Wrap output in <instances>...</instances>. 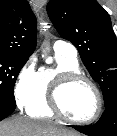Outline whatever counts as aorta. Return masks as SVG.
I'll return each instance as SVG.
<instances>
[{
  "instance_id": "762f6f07",
  "label": "aorta",
  "mask_w": 117,
  "mask_h": 136,
  "mask_svg": "<svg viewBox=\"0 0 117 136\" xmlns=\"http://www.w3.org/2000/svg\"><path fill=\"white\" fill-rule=\"evenodd\" d=\"M47 63H50L51 62V60L50 59H47V61H46Z\"/></svg>"
}]
</instances>
